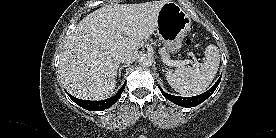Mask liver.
Listing matches in <instances>:
<instances>
[{"label": "liver", "mask_w": 276, "mask_h": 138, "mask_svg": "<svg viewBox=\"0 0 276 138\" xmlns=\"http://www.w3.org/2000/svg\"><path fill=\"white\" fill-rule=\"evenodd\" d=\"M166 2L107 5L83 18L61 53L59 71L67 91L86 100L108 98L116 86L120 54L144 45Z\"/></svg>", "instance_id": "6515ba94"}]
</instances>
